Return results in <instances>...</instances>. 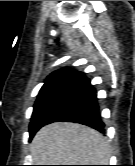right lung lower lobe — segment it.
<instances>
[{
  "label": "right lung lower lobe",
  "instance_id": "obj_1",
  "mask_svg": "<svg viewBox=\"0 0 135 166\" xmlns=\"http://www.w3.org/2000/svg\"><path fill=\"white\" fill-rule=\"evenodd\" d=\"M67 88L72 95L69 107L52 122L80 123L104 133L105 124L99 112L96 90L91 85L90 79L84 78L82 81L71 84Z\"/></svg>",
  "mask_w": 135,
  "mask_h": 166
}]
</instances>
